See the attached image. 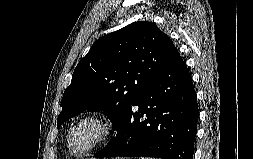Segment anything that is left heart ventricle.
I'll return each instance as SVG.
<instances>
[{
	"label": "left heart ventricle",
	"mask_w": 253,
	"mask_h": 159,
	"mask_svg": "<svg viewBox=\"0 0 253 159\" xmlns=\"http://www.w3.org/2000/svg\"><path fill=\"white\" fill-rule=\"evenodd\" d=\"M101 126L95 121H86L75 130L72 138V147L78 151L85 149L99 135Z\"/></svg>",
	"instance_id": "obj_1"
}]
</instances>
